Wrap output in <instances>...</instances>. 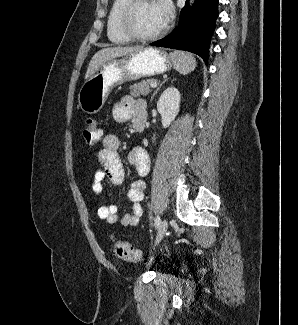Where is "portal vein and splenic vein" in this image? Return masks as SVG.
Returning <instances> with one entry per match:
<instances>
[{
    "mask_svg": "<svg viewBox=\"0 0 298 325\" xmlns=\"http://www.w3.org/2000/svg\"><path fill=\"white\" fill-rule=\"evenodd\" d=\"M157 86V82H152V84H150V88H156Z\"/></svg>",
    "mask_w": 298,
    "mask_h": 325,
    "instance_id": "18ae733b",
    "label": "portal vein and splenic vein"
}]
</instances>
